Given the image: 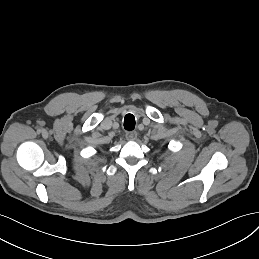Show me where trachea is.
I'll use <instances>...</instances> for the list:
<instances>
[{
  "label": "trachea",
  "instance_id": "1",
  "mask_svg": "<svg viewBox=\"0 0 259 259\" xmlns=\"http://www.w3.org/2000/svg\"><path fill=\"white\" fill-rule=\"evenodd\" d=\"M124 128L133 130L135 128V117L132 114H127L124 118Z\"/></svg>",
  "mask_w": 259,
  "mask_h": 259
}]
</instances>
